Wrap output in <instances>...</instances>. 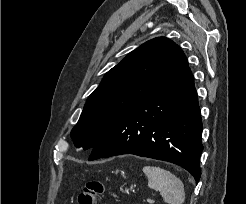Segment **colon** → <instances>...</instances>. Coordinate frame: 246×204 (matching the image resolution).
I'll return each mask as SVG.
<instances>
[{"label": "colon", "instance_id": "1", "mask_svg": "<svg viewBox=\"0 0 246 204\" xmlns=\"http://www.w3.org/2000/svg\"><path fill=\"white\" fill-rule=\"evenodd\" d=\"M105 191L104 184L99 180H90L78 195L79 204H95L97 198Z\"/></svg>", "mask_w": 246, "mask_h": 204}]
</instances>
